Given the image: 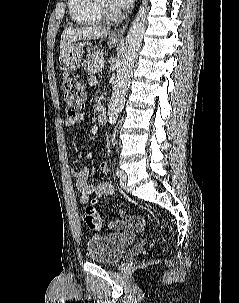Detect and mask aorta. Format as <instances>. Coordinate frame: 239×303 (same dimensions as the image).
<instances>
[{"label":"aorta","mask_w":239,"mask_h":303,"mask_svg":"<svg viewBox=\"0 0 239 303\" xmlns=\"http://www.w3.org/2000/svg\"><path fill=\"white\" fill-rule=\"evenodd\" d=\"M147 11V1L144 0L132 21L118 60L116 81L108 106V120L111 125L116 123L124 107L125 94L130 85L136 54L140 49L146 31Z\"/></svg>","instance_id":"762f6f07"}]
</instances>
